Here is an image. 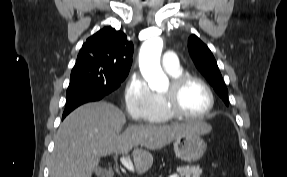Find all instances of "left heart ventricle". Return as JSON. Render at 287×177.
Segmentation results:
<instances>
[{"instance_id": "left-heart-ventricle-1", "label": "left heart ventricle", "mask_w": 287, "mask_h": 177, "mask_svg": "<svg viewBox=\"0 0 287 177\" xmlns=\"http://www.w3.org/2000/svg\"><path fill=\"white\" fill-rule=\"evenodd\" d=\"M179 105L187 113L202 114L209 106V96L200 84L192 82L186 85L181 92Z\"/></svg>"}]
</instances>
